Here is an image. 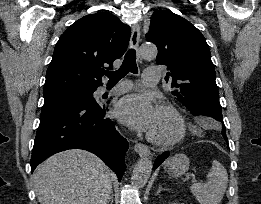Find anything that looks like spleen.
<instances>
[{
	"mask_svg": "<svg viewBox=\"0 0 261 204\" xmlns=\"http://www.w3.org/2000/svg\"><path fill=\"white\" fill-rule=\"evenodd\" d=\"M196 134H201L197 133ZM208 182L195 183L190 187L194 197L200 204H220L227 188L228 174L225 167L217 160L212 161V167L207 174Z\"/></svg>",
	"mask_w": 261,
	"mask_h": 204,
	"instance_id": "spleen-1",
	"label": "spleen"
}]
</instances>
